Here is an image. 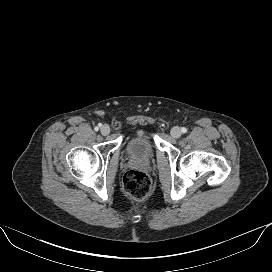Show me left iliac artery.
<instances>
[{
    "instance_id": "obj_1",
    "label": "left iliac artery",
    "mask_w": 272,
    "mask_h": 272,
    "mask_svg": "<svg viewBox=\"0 0 272 272\" xmlns=\"http://www.w3.org/2000/svg\"><path fill=\"white\" fill-rule=\"evenodd\" d=\"M181 132H182V133H186V132H187V129H186L185 127H182V128H181Z\"/></svg>"
}]
</instances>
